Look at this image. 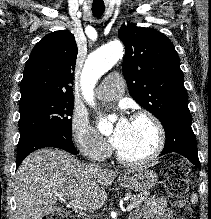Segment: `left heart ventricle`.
<instances>
[{"label": "left heart ventricle", "instance_id": "b2bd125f", "mask_svg": "<svg viewBox=\"0 0 211 219\" xmlns=\"http://www.w3.org/2000/svg\"><path fill=\"white\" fill-rule=\"evenodd\" d=\"M156 143V132L146 119L131 121V128L122 146L118 149L128 158H141L149 154Z\"/></svg>", "mask_w": 211, "mask_h": 219}]
</instances>
